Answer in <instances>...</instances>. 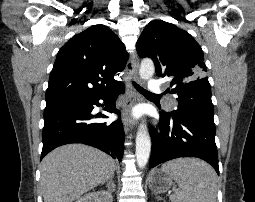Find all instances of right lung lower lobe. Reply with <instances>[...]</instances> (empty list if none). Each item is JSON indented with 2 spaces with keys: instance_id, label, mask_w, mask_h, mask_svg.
Instances as JSON below:
<instances>
[{
  "instance_id": "right-lung-lower-lobe-1",
  "label": "right lung lower lobe",
  "mask_w": 255,
  "mask_h": 202,
  "mask_svg": "<svg viewBox=\"0 0 255 202\" xmlns=\"http://www.w3.org/2000/svg\"><path fill=\"white\" fill-rule=\"evenodd\" d=\"M124 92L121 83L115 89L90 98L45 108L42 133L41 159L51 150L64 144L83 143L96 147L121 161L123 156L124 129L120 119L112 123H95L94 106L104 100L105 110L120 115L115 101ZM103 106V105H102ZM107 118V116H102Z\"/></svg>"
}]
</instances>
